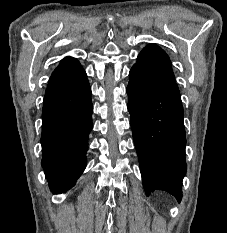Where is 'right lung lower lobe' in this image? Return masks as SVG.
<instances>
[{"mask_svg": "<svg viewBox=\"0 0 227 233\" xmlns=\"http://www.w3.org/2000/svg\"><path fill=\"white\" fill-rule=\"evenodd\" d=\"M93 106L88 80L42 110V167L55 194L70 189L86 167Z\"/></svg>", "mask_w": 227, "mask_h": 233, "instance_id": "1", "label": "right lung lower lobe"}]
</instances>
